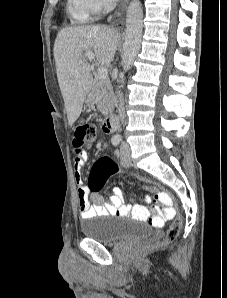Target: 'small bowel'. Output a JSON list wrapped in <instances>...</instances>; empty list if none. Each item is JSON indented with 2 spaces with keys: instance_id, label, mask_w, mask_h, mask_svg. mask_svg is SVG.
Masks as SVG:
<instances>
[{
  "instance_id": "obj_1",
  "label": "small bowel",
  "mask_w": 227,
  "mask_h": 298,
  "mask_svg": "<svg viewBox=\"0 0 227 298\" xmlns=\"http://www.w3.org/2000/svg\"><path fill=\"white\" fill-rule=\"evenodd\" d=\"M83 147H90V142H83ZM82 146H75L76 156L74 159V178L78 186L77 198L79 215L81 219H89L96 216H134L138 218H150L149 210L141 205H126L124 204L123 191L119 187L113 188L112 195L107 201H103L98 194H91L90 190L83 184L82 169L87 161V150H83ZM150 180L145 179V182ZM146 201H150L146 197Z\"/></svg>"
}]
</instances>
